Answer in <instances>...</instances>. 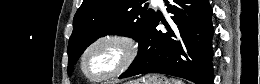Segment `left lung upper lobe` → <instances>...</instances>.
Listing matches in <instances>:
<instances>
[{
    "label": "left lung upper lobe",
    "instance_id": "obj_1",
    "mask_svg": "<svg viewBox=\"0 0 260 84\" xmlns=\"http://www.w3.org/2000/svg\"><path fill=\"white\" fill-rule=\"evenodd\" d=\"M144 0H83L73 20L68 45V73L83 51L101 36L118 34L139 43L137 60L155 19V11L142 7ZM134 60V61H135Z\"/></svg>",
    "mask_w": 260,
    "mask_h": 84
}]
</instances>
